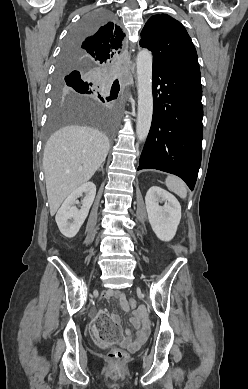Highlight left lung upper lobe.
<instances>
[{
    "label": "left lung upper lobe",
    "mask_w": 248,
    "mask_h": 389,
    "mask_svg": "<svg viewBox=\"0 0 248 389\" xmlns=\"http://www.w3.org/2000/svg\"><path fill=\"white\" fill-rule=\"evenodd\" d=\"M140 46L160 65L198 63L196 49L183 25L167 14L152 16L141 32Z\"/></svg>",
    "instance_id": "1"
}]
</instances>
